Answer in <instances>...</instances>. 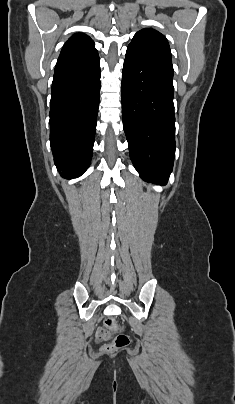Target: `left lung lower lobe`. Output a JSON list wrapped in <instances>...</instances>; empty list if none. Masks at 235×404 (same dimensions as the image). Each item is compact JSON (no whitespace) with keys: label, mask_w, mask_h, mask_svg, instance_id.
I'll use <instances>...</instances> for the list:
<instances>
[{"label":"left lung lower lobe","mask_w":235,"mask_h":404,"mask_svg":"<svg viewBox=\"0 0 235 404\" xmlns=\"http://www.w3.org/2000/svg\"><path fill=\"white\" fill-rule=\"evenodd\" d=\"M121 96L131 160L142 179L164 185L175 155L172 61L128 46Z\"/></svg>","instance_id":"left-lung-lower-lobe-1"}]
</instances>
